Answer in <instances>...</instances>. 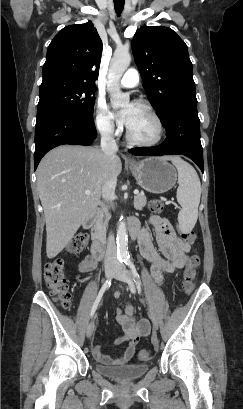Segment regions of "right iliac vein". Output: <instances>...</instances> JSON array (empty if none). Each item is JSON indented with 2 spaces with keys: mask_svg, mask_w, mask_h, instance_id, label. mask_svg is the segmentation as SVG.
I'll return each instance as SVG.
<instances>
[{
  "mask_svg": "<svg viewBox=\"0 0 243 409\" xmlns=\"http://www.w3.org/2000/svg\"><path fill=\"white\" fill-rule=\"evenodd\" d=\"M114 271H115V267H113V266L106 268V270H105V277H106L107 280L112 277ZM94 330H95V322H94V319H92V321L89 323V325H88V327H87L86 336H87L88 338H91V336H92Z\"/></svg>",
  "mask_w": 243,
  "mask_h": 409,
  "instance_id": "63e3f726",
  "label": "right iliac vein"
}]
</instances>
